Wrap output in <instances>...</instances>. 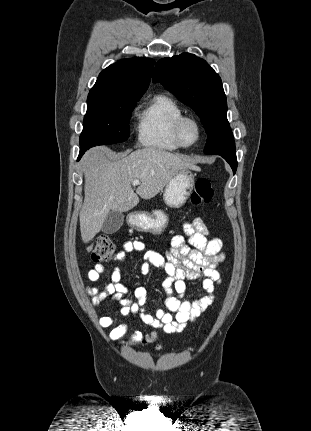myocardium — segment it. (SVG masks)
I'll use <instances>...</instances> for the list:
<instances>
[{"label":"myocardium","instance_id":"myocardium-1","mask_svg":"<svg viewBox=\"0 0 311 431\" xmlns=\"http://www.w3.org/2000/svg\"><path fill=\"white\" fill-rule=\"evenodd\" d=\"M190 119L194 120L197 123L198 128H199V135H198L196 141H194V142H187L184 138V135H183V126H184L185 122L190 120ZM203 135H204V125H203V123L199 117L192 115V114H184L177 120L176 125H175V136H176L178 143L182 147L189 148V147H193V146L197 145L200 142V140L202 139Z\"/></svg>","mask_w":311,"mask_h":431}]
</instances>
